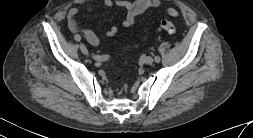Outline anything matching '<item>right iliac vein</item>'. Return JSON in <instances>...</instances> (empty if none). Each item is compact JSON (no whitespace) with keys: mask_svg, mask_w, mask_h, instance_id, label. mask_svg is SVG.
Returning a JSON list of instances; mask_svg holds the SVG:
<instances>
[{"mask_svg":"<svg viewBox=\"0 0 253 138\" xmlns=\"http://www.w3.org/2000/svg\"><path fill=\"white\" fill-rule=\"evenodd\" d=\"M80 49H81L83 54L86 55L88 53L87 48L83 43L80 44Z\"/></svg>","mask_w":253,"mask_h":138,"instance_id":"right-iliac-vein-1","label":"right iliac vein"}]
</instances>
